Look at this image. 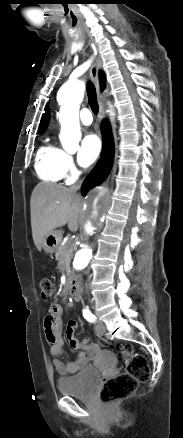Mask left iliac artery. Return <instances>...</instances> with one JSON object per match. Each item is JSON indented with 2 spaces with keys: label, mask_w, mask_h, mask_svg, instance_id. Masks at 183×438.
I'll list each match as a JSON object with an SVG mask.
<instances>
[{
  "label": "left iliac artery",
  "mask_w": 183,
  "mask_h": 438,
  "mask_svg": "<svg viewBox=\"0 0 183 438\" xmlns=\"http://www.w3.org/2000/svg\"><path fill=\"white\" fill-rule=\"evenodd\" d=\"M83 316L89 322H95L96 317L91 313L88 308L83 309Z\"/></svg>",
  "instance_id": "44dca946"
}]
</instances>
